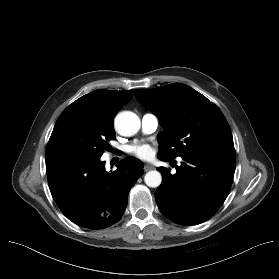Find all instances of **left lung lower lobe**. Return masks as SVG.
Segmentation results:
<instances>
[{"label": "left lung lower lobe", "mask_w": 279, "mask_h": 279, "mask_svg": "<svg viewBox=\"0 0 279 279\" xmlns=\"http://www.w3.org/2000/svg\"><path fill=\"white\" fill-rule=\"evenodd\" d=\"M183 162L171 175L158 167L162 183L155 199L160 211L181 225H196L209 219L229 194L236 168L235 153L197 152L181 156ZM167 161L164 158H159Z\"/></svg>", "instance_id": "0a47b994"}]
</instances>
